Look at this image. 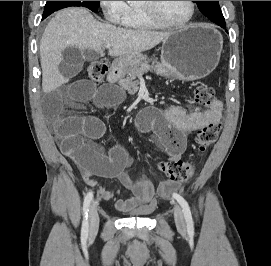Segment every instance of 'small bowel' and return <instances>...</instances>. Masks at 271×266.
<instances>
[{"label": "small bowel", "mask_w": 271, "mask_h": 266, "mask_svg": "<svg viewBox=\"0 0 271 266\" xmlns=\"http://www.w3.org/2000/svg\"><path fill=\"white\" fill-rule=\"evenodd\" d=\"M81 59L70 56L60 65L62 85L49 92L44 111L51 121L62 152L79 168L83 180L98 191L104 200H112L119 191H108L98 187L95 177L115 178L132 193L130 198H120L115 207L128 212L140 206H153L156 193L166 195L179 187V182L166 180L157 187L149 180H135L125 169L130 159L125 149L114 144L107 153H103L86 139L100 140L105 137L107 128L103 120L94 115L85 117L65 116L68 106L78 102L92 101L101 108H112L124 100L123 92L113 85L95 87L88 80L69 82L82 69ZM221 103L216 101L212 108L204 111L196 108L187 112L181 107L165 104L156 116L153 109L147 108L137 118V127L142 132L153 131L158 137L167 156L180 157L187 144V136L212 120H220Z\"/></svg>", "instance_id": "obj_1"}]
</instances>
